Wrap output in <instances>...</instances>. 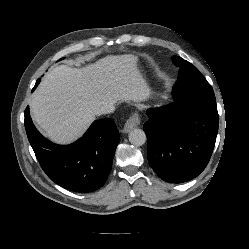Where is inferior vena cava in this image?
Returning <instances> with one entry per match:
<instances>
[{"label": "inferior vena cava", "instance_id": "inferior-vena-cava-1", "mask_svg": "<svg viewBox=\"0 0 249 249\" xmlns=\"http://www.w3.org/2000/svg\"><path fill=\"white\" fill-rule=\"evenodd\" d=\"M114 111L113 104H104L97 112V115L110 114Z\"/></svg>", "mask_w": 249, "mask_h": 249}]
</instances>
